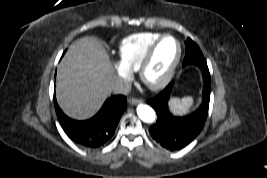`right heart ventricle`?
Returning a JSON list of instances; mask_svg holds the SVG:
<instances>
[{"instance_id":"right-heart-ventricle-1","label":"right heart ventricle","mask_w":267,"mask_h":178,"mask_svg":"<svg viewBox=\"0 0 267 178\" xmlns=\"http://www.w3.org/2000/svg\"><path fill=\"white\" fill-rule=\"evenodd\" d=\"M163 34L144 32L123 39L118 47L120 64L129 70H138L139 64L149 47Z\"/></svg>"}]
</instances>
